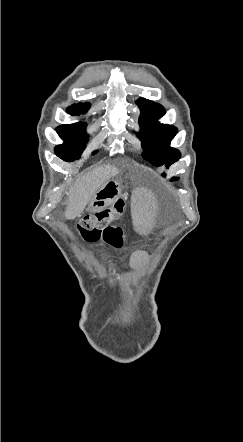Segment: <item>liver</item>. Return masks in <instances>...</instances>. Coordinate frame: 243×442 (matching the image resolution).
<instances>
[{
  "instance_id": "liver-1",
  "label": "liver",
  "mask_w": 243,
  "mask_h": 442,
  "mask_svg": "<svg viewBox=\"0 0 243 442\" xmlns=\"http://www.w3.org/2000/svg\"><path fill=\"white\" fill-rule=\"evenodd\" d=\"M118 173L116 167L104 165L77 180L68 193L65 218L72 220L79 217L99 188Z\"/></svg>"
}]
</instances>
